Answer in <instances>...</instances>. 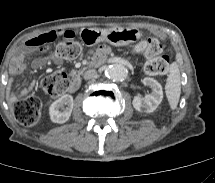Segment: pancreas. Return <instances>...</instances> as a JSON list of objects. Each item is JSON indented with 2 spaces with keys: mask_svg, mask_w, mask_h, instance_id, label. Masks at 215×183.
<instances>
[{
  "mask_svg": "<svg viewBox=\"0 0 215 183\" xmlns=\"http://www.w3.org/2000/svg\"><path fill=\"white\" fill-rule=\"evenodd\" d=\"M82 71H83V70H80V71L78 72V74H81ZM75 73H76L75 71L72 72V74H75Z\"/></svg>",
  "mask_w": 215,
  "mask_h": 183,
  "instance_id": "obj_1",
  "label": "pancreas"
}]
</instances>
